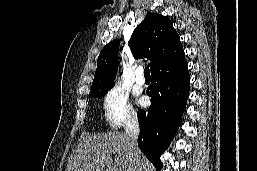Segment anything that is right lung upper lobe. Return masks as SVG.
<instances>
[{
  "mask_svg": "<svg viewBox=\"0 0 257 171\" xmlns=\"http://www.w3.org/2000/svg\"><path fill=\"white\" fill-rule=\"evenodd\" d=\"M134 58H147L151 74L155 71L173 66L185 58L180 37L167 17L147 13L128 42ZM119 41L114 40L101 51L97 69L92 83L91 93L110 89L118 69L117 49Z\"/></svg>",
  "mask_w": 257,
  "mask_h": 171,
  "instance_id": "1",
  "label": "right lung upper lobe"
}]
</instances>
